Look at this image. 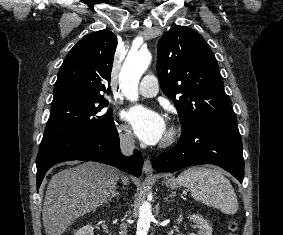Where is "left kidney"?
Masks as SVG:
<instances>
[{
    "label": "left kidney",
    "instance_id": "left-kidney-1",
    "mask_svg": "<svg viewBox=\"0 0 283 235\" xmlns=\"http://www.w3.org/2000/svg\"><path fill=\"white\" fill-rule=\"evenodd\" d=\"M183 217L180 215L177 219V222H182ZM190 220H192L196 226L198 227L199 231L197 235H212V228L207 220H205L199 214L190 215ZM196 235V234H191Z\"/></svg>",
    "mask_w": 283,
    "mask_h": 235
}]
</instances>
